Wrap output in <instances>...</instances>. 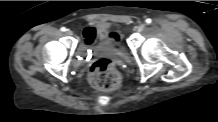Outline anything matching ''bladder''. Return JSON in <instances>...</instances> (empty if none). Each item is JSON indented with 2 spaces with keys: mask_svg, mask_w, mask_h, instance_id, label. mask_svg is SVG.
<instances>
[{
  "mask_svg": "<svg viewBox=\"0 0 218 122\" xmlns=\"http://www.w3.org/2000/svg\"><path fill=\"white\" fill-rule=\"evenodd\" d=\"M97 37L99 42L94 46L95 50L119 51L122 55H126L124 50H118L116 37L106 29L100 28Z\"/></svg>",
  "mask_w": 218,
  "mask_h": 122,
  "instance_id": "obj_1",
  "label": "bladder"
}]
</instances>
